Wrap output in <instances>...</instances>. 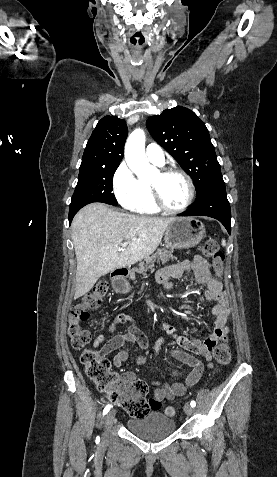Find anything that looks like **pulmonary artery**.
Masks as SVG:
<instances>
[{
    "mask_svg": "<svg viewBox=\"0 0 277 477\" xmlns=\"http://www.w3.org/2000/svg\"><path fill=\"white\" fill-rule=\"evenodd\" d=\"M147 159L155 165L162 166L164 164V153L161 147L155 143H151L146 148Z\"/></svg>",
    "mask_w": 277,
    "mask_h": 477,
    "instance_id": "pulmonary-artery-1",
    "label": "pulmonary artery"
}]
</instances>
